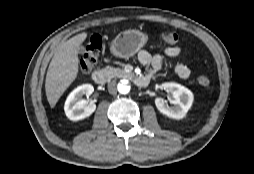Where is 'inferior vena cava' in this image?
<instances>
[{"mask_svg": "<svg viewBox=\"0 0 254 174\" xmlns=\"http://www.w3.org/2000/svg\"><path fill=\"white\" fill-rule=\"evenodd\" d=\"M108 91L112 95L117 94V84L115 81H111L108 83Z\"/></svg>", "mask_w": 254, "mask_h": 174, "instance_id": "1", "label": "inferior vena cava"}]
</instances>
